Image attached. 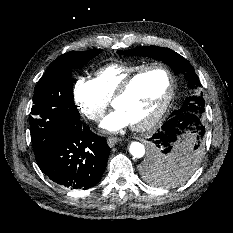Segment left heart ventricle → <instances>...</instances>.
Returning <instances> with one entry per match:
<instances>
[{"mask_svg":"<svg viewBox=\"0 0 233 233\" xmlns=\"http://www.w3.org/2000/svg\"><path fill=\"white\" fill-rule=\"evenodd\" d=\"M169 86L167 74L154 69L141 76L129 92L116 104L130 124L148 119L164 100Z\"/></svg>","mask_w":233,"mask_h":233,"instance_id":"left-heart-ventricle-1","label":"left heart ventricle"}]
</instances>
